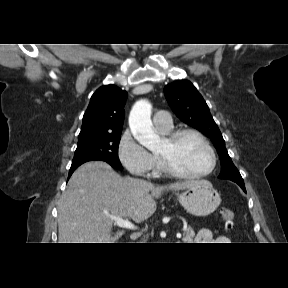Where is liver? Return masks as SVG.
I'll list each match as a JSON object with an SVG mask.
<instances>
[{"mask_svg":"<svg viewBox=\"0 0 288 288\" xmlns=\"http://www.w3.org/2000/svg\"><path fill=\"white\" fill-rule=\"evenodd\" d=\"M206 181L168 186L121 177L102 161L82 164L72 174L58 206L59 243H115L124 231L112 235L110 216L141 223L156 211L155 198L167 190H185Z\"/></svg>","mask_w":288,"mask_h":288,"instance_id":"6515ba94","label":"liver"}]
</instances>
